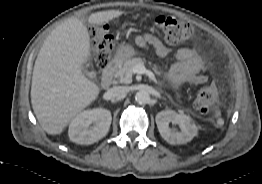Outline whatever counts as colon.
Wrapping results in <instances>:
<instances>
[{"label": "colon", "mask_w": 262, "mask_h": 184, "mask_svg": "<svg viewBox=\"0 0 262 184\" xmlns=\"http://www.w3.org/2000/svg\"><path fill=\"white\" fill-rule=\"evenodd\" d=\"M155 26L162 32L165 40L171 44L187 42L194 33L193 26L171 16L158 15L154 19ZM91 34L95 52V64L105 69L111 62L114 46L113 36L107 26H92ZM217 99V90L211 83L205 82L196 94L194 105L198 111L208 114L213 110Z\"/></svg>", "instance_id": "obj_1"}]
</instances>
